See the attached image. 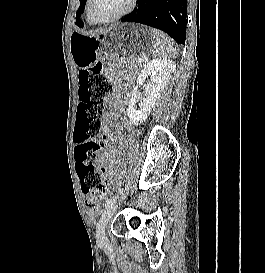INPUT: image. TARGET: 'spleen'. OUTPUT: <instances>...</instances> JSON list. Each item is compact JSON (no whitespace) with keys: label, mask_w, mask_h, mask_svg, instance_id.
<instances>
[{"label":"spleen","mask_w":265,"mask_h":273,"mask_svg":"<svg viewBox=\"0 0 265 273\" xmlns=\"http://www.w3.org/2000/svg\"><path fill=\"white\" fill-rule=\"evenodd\" d=\"M151 34L155 40L154 55L161 58H169L175 55L174 42L164 33L156 29H151Z\"/></svg>","instance_id":"3e777b00"}]
</instances>
